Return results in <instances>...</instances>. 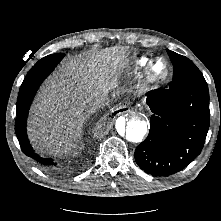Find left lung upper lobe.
I'll list each match as a JSON object with an SVG mask.
<instances>
[{
    "mask_svg": "<svg viewBox=\"0 0 221 221\" xmlns=\"http://www.w3.org/2000/svg\"><path fill=\"white\" fill-rule=\"evenodd\" d=\"M167 53L173 63V80L169 88L174 89L185 84L205 81L202 73L187 57L170 50H167Z\"/></svg>",
    "mask_w": 221,
    "mask_h": 221,
    "instance_id": "1",
    "label": "left lung upper lobe"
}]
</instances>
